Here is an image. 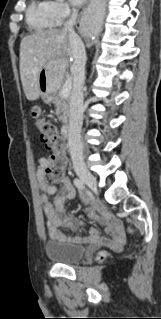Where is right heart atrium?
I'll use <instances>...</instances> for the list:
<instances>
[{
  "instance_id": "right-heart-atrium-1",
  "label": "right heart atrium",
  "mask_w": 161,
  "mask_h": 319,
  "mask_svg": "<svg viewBox=\"0 0 161 319\" xmlns=\"http://www.w3.org/2000/svg\"><path fill=\"white\" fill-rule=\"evenodd\" d=\"M50 3L57 20V25H60L64 19L71 14L72 9L68 3L62 2L60 0L51 1Z\"/></svg>"
}]
</instances>
